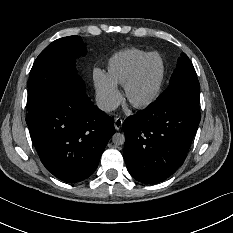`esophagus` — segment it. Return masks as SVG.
I'll return each instance as SVG.
<instances>
[{"label": "esophagus", "mask_w": 233, "mask_h": 233, "mask_svg": "<svg viewBox=\"0 0 233 233\" xmlns=\"http://www.w3.org/2000/svg\"><path fill=\"white\" fill-rule=\"evenodd\" d=\"M123 121L121 118H116L114 121V126L116 130H119L122 127Z\"/></svg>", "instance_id": "obj_1"}]
</instances>
